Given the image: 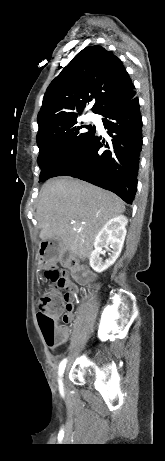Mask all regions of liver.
Here are the masks:
<instances>
[{
    "label": "liver",
    "mask_w": 165,
    "mask_h": 461,
    "mask_svg": "<svg viewBox=\"0 0 165 461\" xmlns=\"http://www.w3.org/2000/svg\"><path fill=\"white\" fill-rule=\"evenodd\" d=\"M125 211L115 194L71 177L48 180L37 207L40 238L58 237L66 250L85 260L101 227Z\"/></svg>",
    "instance_id": "obj_1"
}]
</instances>
